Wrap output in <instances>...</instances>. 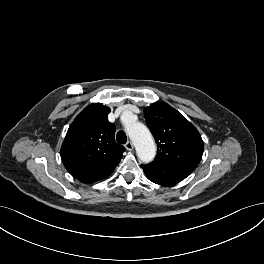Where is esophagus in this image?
I'll return each mask as SVG.
<instances>
[{
  "instance_id": "esophagus-1",
  "label": "esophagus",
  "mask_w": 264,
  "mask_h": 264,
  "mask_svg": "<svg viewBox=\"0 0 264 264\" xmlns=\"http://www.w3.org/2000/svg\"><path fill=\"white\" fill-rule=\"evenodd\" d=\"M125 147L128 151H132L134 149V146H133V143L131 141H128L126 144H125Z\"/></svg>"
}]
</instances>
